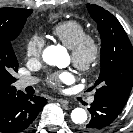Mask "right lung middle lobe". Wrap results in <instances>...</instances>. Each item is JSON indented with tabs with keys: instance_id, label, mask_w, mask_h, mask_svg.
Returning <instances> with one entry per match:
<instances>
[{
	"instance_id": "dd1d6c3e",
	"label": "right lung middle lobe",
	"mask_w": 133,
	"mask_h": 133,
	"mask_svg": "<svg viewBox=\"0 0 133 133\" xmlns=\"http://www.w3.org/2000/svg\"><path fill=\"white\" fill-rule=\"evenodd\" d=\"M33 10H19L10 21L0 19V95L13 90L12 85L16 78L14 72L18 71V61L12 48V41L17 38L24 27L27 17Z\"/></svg>"
}]
</instances>
